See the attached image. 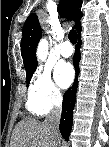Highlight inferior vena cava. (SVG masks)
Masks as SVG:
<instances>
[{
	"instance_id": "inferior-vena-cava-1",
	"label": "inferior vena cava",
	"mask_w": 109,
	"mask_h": 147,
	"mask_svg": "<svg viewBox=\"0 0 109 147\" xmlns=\"http://www.w3.org/2000/svg\"><path fill=\"white\" fill-rule=\"evenodd\" d=\"M61 113V102H58L44 121L49 128L53 147H60L59 122L61 118Z\"/></svg>"
}]
</instances>
